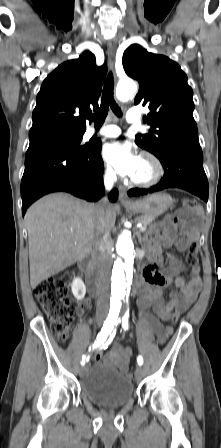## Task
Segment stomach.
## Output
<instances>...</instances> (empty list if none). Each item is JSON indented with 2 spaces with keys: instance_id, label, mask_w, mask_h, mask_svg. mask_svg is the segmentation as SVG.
Here are the masks:
<instances>
[{
  "instance_id": "stomach-1",
  "label": "stomach",
  "mask_w": 221,
  "mask_h": 448,
  "mask_svg": "<svg viewBox=\"0 0 221 448\" xmlns=\"http://www.w3.org/2000/svg\"><path fill=\"white\" fill-rule=\"evenodd\" d=\"M172 203L173 199L170 195L155 193L143 199H138L125 207L131 212L141 213L145 216H159L166 212Z\"/></svg>"
}]
</instances>
